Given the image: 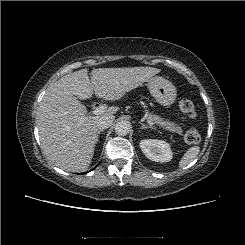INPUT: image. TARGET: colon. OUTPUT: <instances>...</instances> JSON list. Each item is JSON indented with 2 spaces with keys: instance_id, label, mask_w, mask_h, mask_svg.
<instances>
[{
  "instance_id": "1",
  "label": "colon",
  "mask_w": 245,
  "mask_h": 245,
  "mask_svg": "<svg viewBox=\"0 0 245 245\" xmlns=\"http://www.w3.org/2000/svg\"><path fill=\"white\" fill-rule=\"evenodd\" d=\"M179 109L183 113H185L191 120L193 121L196 120L197 118L196 108L190 99L181 98L179 100ZM200 138H201L200 133L195 128L189 129L184 136L185 141L189 144L198 143L200 141Z\"/></svg>"
}]
</instances>
